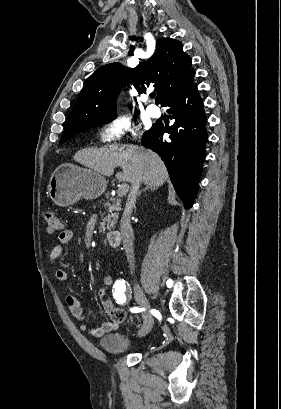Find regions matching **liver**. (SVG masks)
Listing matches in <instances>:
<instances>
[{"label":"liver","mask_w":281,"mask_h":409,"mask_svg":"<svg viewBox=\"0 0 281 409\" xmlns=\"http://www.w3.org/2000/svg\"><path fill=\"white\" fill-rule=\"evenodd\" d=\"M74 160L104 176H111L114 168L121 166L122 172L115 174L121 182H134L136 174H141L144 184L161 186L168 178L160 156L138 144H124L121 148H82L74 154Z\"/></svg>","instance_id":"1"}]
</instances>
